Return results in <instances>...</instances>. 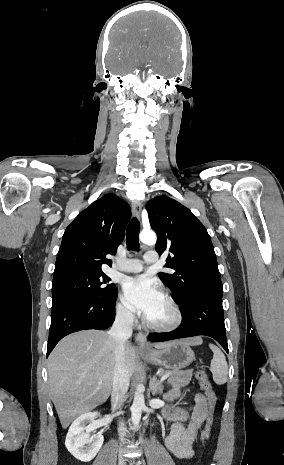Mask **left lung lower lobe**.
Segmentation results:
<instances>
[{
    "label": "left lung lower lobe",
    "mask_w": 284,
    "mask_h": 465,
    "mask_svg": "<svg viewBox=\"0 0 284 465\" xmlns=\"http://www.w3.org/2000/svg\"><path fill=\"white\" fill-rule=\"evenodd\" d=\"M183 321L170 333L149 335L152 342L205 335L214 338L228 352L222 297L197 294L180 302Z\"/></svg>",
    "instance_id": "0a47b994"
}]
</instances>
